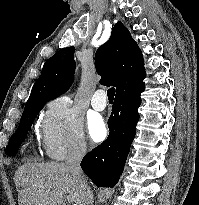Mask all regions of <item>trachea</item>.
Here are the masks:
<instances>
[{"label":"trachea","mask_w":199,"mask_h":205,"mask_svg":"<svg viewBox=\"0 0 199 205\" xmlns=\"http://www.w3.org/2000/svg\"><path fill=\"white\" fill-rule=\"evenodd\" d=\"M115 95V89L114 88H109L107 90V96L109 100H113Z\"/></svg>","instance_id":"trachea-1"}]
</instances>
